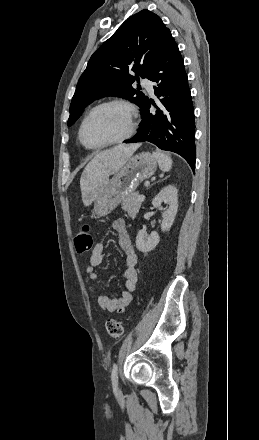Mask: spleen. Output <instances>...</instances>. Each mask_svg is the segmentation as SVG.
I'll return each mask as SVG.
<instances>
[{"label":"spleen","instance_id":"1","mask_svg":"<svg viewBox=\"0 0 259 440\" xmlns=\"http://www.w3.org/2000/svg\"><path fill=\"white\" fill-rule=\"evenodd\" d=\"M153 156L156 158L162 171H169L171 169L172 159L169 155L157 150L153 152Z\"/></svg>","mask_w":259,"mask_h":440}]
</instances>
